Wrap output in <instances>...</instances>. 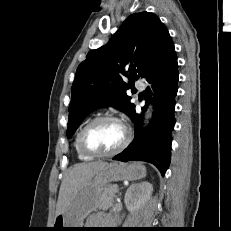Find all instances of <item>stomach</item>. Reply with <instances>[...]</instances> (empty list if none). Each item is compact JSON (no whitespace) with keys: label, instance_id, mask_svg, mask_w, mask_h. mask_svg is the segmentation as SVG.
Returning a JSON list of instances; mask_svg holds the SVG:
<instances>
[{"label":"stomach","instance_id":"0dacf381","mask_svg":"<svg viewBox=\"0 0 231 231\" xmlns=\"http://www.w3.org/2000/svg\"><path fill=\"white\" fill-rule=\"evenodd\" d=\"M146 175V168L140 163L124 164L112 162L97 173L70 200L65 212L56 216L54 231L77 230L83 228L84 219L93 211L102 208L101 196L110 182L138 180Z\"/></svg>","mask_w":231,"mask_h":231}]
</instances>
